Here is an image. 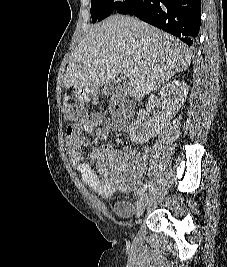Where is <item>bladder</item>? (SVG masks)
I'll list each match as a JSON object with an SVG mask.
<instances>
[{"label": "bladder", "instance_id": "31cf9c89", "mask_svg": "<svg viewBox=\"0 0 227 267\" xmlns=\"http://www.w3.org/2000/svg\"><path fill=\"white\" fill-rule=\"evenodd\" d=\"M113 209L115 215L122 220H130L134 216L133 205L128 200L116 201Z\"/></svg>", "mask_w": 227, "mask_h": 267}]
</instances>
